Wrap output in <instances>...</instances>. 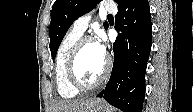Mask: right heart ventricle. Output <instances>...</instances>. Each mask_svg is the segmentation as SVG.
<instances>
[{"instance_id": "e07e8e85", "label": "right heart ventricle", "mask_w": 193, "mask_h": 112, "mask_svg": "<svg viewBox=\"0 0 193 112\" xmlns=\"http://www.w3.org/2000/svg\"><path fill=\"white\" fill-rule=\"evenodd\" d=\"M82 34L69 30L60 41L55 58V81L59 95L63 98H74L79 94L68 80L67 60L70 51Z\"/></svg>"}]
</instances>
